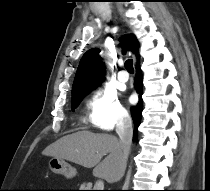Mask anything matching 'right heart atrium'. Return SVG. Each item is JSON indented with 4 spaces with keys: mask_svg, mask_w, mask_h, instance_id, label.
I'll return each instance as SVG.
<instances>
[{
    "mask_svg": "<svg viewBox=\"0 0 210 191\" xmlns=\"http://www.w3.org/2000/svg\"><path fill=\"white\" fill-rule=\"evenodd\" d=\"M88 120L96 128L111 131L128 119L126 109L120 103L115 91L100 89L87 103Z\"/></svg>",
    "mask_w": 210,
    "mask_h": 191,
    "instance_id": "d8ad5b80",
    "label": "right heart atrium"
}]
</instances>
